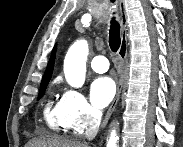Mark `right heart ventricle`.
<instances>
[{
    "label": "right heart ventricle",
    "mask_w": 183,
    "mask_h": 147,
    "mask_svg": "<svg viewBox=\"0 0 183 147\" xmlns=\"http://www.w3.org/2000/svg\"><path fill=\"white\" fill-rule=\"evenodd\" d=\"M44 118L49 128L56 132H60L67 129L62 115V107L60 100L56 102H47L44 109Z\"/></svg>",
    "instance_id": "1"
}]
</instances>
